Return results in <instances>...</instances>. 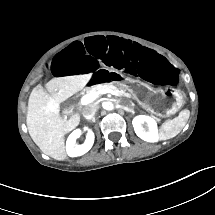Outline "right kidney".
<instances>
[{"mask_svg": "<svg viewBox=\"0 0 215 215\" xmlns=\"http://www.w3.org/2000/svg\"><path fill=\"white\" fill-rule=\"evenodd\" d=\"M81 136V130H74L68 137L66 142V152L69 157H78L87 153L94 143V133L92 130H88L86 140L83 144L77 145L76 139Z\"/></svg>", "mask_w": 215, "mask_h": 215, "instance_id": "1", "label": "right kidney"}]
</instances>
